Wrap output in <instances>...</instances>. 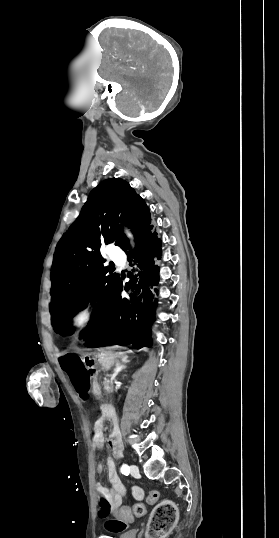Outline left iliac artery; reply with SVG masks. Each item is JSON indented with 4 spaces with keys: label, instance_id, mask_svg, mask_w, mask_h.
Here are the masks:
<instances>
[{
    "label": "left iliac artery",
    "instance_id": "1",
    "mask_svg": "<svg viewBox=\"0 0 279 538\" xmlns=\"http://www.w3.org/2000/svg\"><path fill=\"white\" fill-rule=\"evenodd\" d=\"M129 471H130V468L127 464H123L121 466V473L124 474V475H128L129 474Z\"/></svg>",
    "mask_w": 279,
    "mask_h": 538
}]
</instances>
